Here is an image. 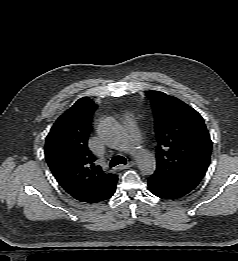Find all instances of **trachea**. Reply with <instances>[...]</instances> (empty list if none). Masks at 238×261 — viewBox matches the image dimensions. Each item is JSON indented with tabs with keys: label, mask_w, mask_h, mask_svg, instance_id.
<instances>
[{
	"label": "trachea",
	"mask_w": 238,
	"mask_h": 261,
	"mask_svg": "<svg viewBox=\"0 0 238 261\" xmlns=\"http://www.w3.org/2000/svg\"><path fill=\"white\" fill-rule=\"evenodd\" d=\"M119 164H124V165L127 164L126 158L123 156H115L110 161V167H115Z\"/></svg>",
	"instance_id": "3493384b"
}]
</instances>
